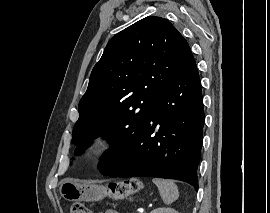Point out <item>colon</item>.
Masks as SVG:
<instances>
[{"label": "colon", "instance_id": "5ec220e1", "mask_svg": "<svg viewBox=\"0 0 270 213\" xmlns=\"http://www.w3.org/2000/svg\"><path fill=\"white\" fill-rule=\"evenodd\" d=\"M140 183L136 179L125 180L122 182L111 183L108 188L109 196L116 200L137 193ZM71 213H91V211L81 203H75L71 207Z\"/></svg>", "mask_w": 270, "mask_h": 213}]
</instances>
